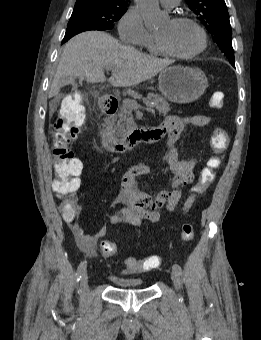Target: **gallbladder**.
I'll list each match as a JSON object with an SVG mask.
<instances>
[{
  "mask_svg": "<svg viewBox=\"0 0 261 340\" xmlns=\"http://www.w3.org/2000/svg\"><path fill=\"white\" fill-rule=\"evenodd\" d=\"M67 84H75V81L74 80H71V81H69Z\"/></svg>",
  "mask_w": 261,
  "mask_h": 340,
  "instance_id": "bac80fb5",
  "label": "gallbladder"
}]
</instances>
